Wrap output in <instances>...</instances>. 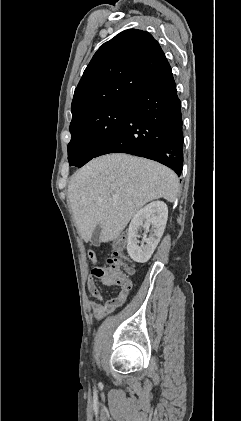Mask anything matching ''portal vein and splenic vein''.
<instances>
[{
  "mask_svg": "<svg viewBox=\"0 0 241 421\" xmlns=\"http://www.w3.org/2000/svg\"><path fill=\"white\" fill-rule=\"evenodd\" d=\"M113 198H114V199H117V198H118V196H117V195H113Z\"/></svg>",
  "mask_w": 241,
  "mask_h": 421,
  "instance_id": "18ae733b",
  "label": "portal vein and splenic vein"
}]
</instances>
